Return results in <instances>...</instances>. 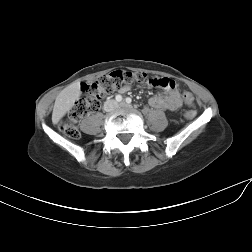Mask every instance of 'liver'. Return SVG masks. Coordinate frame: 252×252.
<instances>
[{"mask_svg": "<svg viewBox=\"0 0 252 252\" xmlns=\"http://www.w3.org/2000/svg\"><path fill=\"white\" fill-rule=\"evenodd\" d=\"M81 95V88L79 82H74L63 89L56 97L52 122L57 124L59 120L74 106L75 101L79 99Z\"/></svg>", "mask_w": 252, "mask_h": 252, "instance_id": "1", "label": "liver"}]
</instances>
